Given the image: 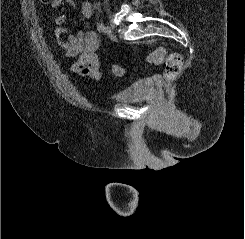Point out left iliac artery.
<instances>
[{
    "label": "left iliac artery",
    "instance_id": "left-iliac-artery-1",
    "mask_svg": "<svg viewBox=\"0 0 245 239\" xmlns=\"http://www.w3.org/2000/svg\"><path fill=\"white\" fill-rule=\"evenodd\" d=\"M97 29H98L99 32H104L105 26H104L103 21H100V22L97 24Z\"/></svg>",
    "mask_w": 245,
    "mask_h": 239
}]
</instances>
